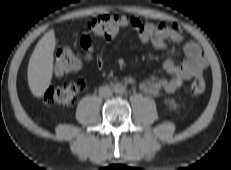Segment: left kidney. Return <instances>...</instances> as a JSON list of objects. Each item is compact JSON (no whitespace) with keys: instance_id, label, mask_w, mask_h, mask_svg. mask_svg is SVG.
<instances>
[{"instance_id":"obj_1","label":"left kidney","mask_w":231,"mask_h":170,"mask_svg":"<svg viewBox=\"0 0 231 170\" xmlns=\"http://www.w3.org/2000/svg\"><path fill=\"white\" fill-rule=\"evenodd\" d=\"M166 102L169 105V107L172 109H175L177 107V104H176L175 100H173V99L167 100Z\"/></svg>"}]
</instances>
